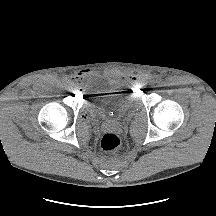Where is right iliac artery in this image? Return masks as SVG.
I'll return each instance as SVG.
<instances>
[{
  "label": "right iliac artery",
  "instance_id": "82829eb1",
  "mask_svg": "<svg viewBox=\"0 0 216 216\" xmlns=\"http://www.w3.org/2000/svg\"><path fill=\"white\" fill-rule=\"evenodd\" d=\"M69 87V89L71 90L72 88H73V86H74V83L73 82H70V81H68L67 83H66Z\"/></svg>",
  "mask_w": 216,
  "mask_h": 216
}]
</instances>
